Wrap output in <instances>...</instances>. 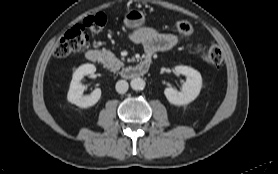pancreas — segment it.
Here are the masks:
<instances>
[{
	"instance_id": "obj_1",
	"label": "pancreas",
	"mask_w": 278,
	"mask_h": 174,
	"mask_svg": "<svg viewBox=\"0 0 278 174\" xmlns=\"http://www.w3.org/2000/svg\"><path fill=\"white\" fill-rule=\"evenodd\" d=\"M102 63L112 71H117L124 66V64L110 51H102Z\"/></svg>"
}]
</instances>
